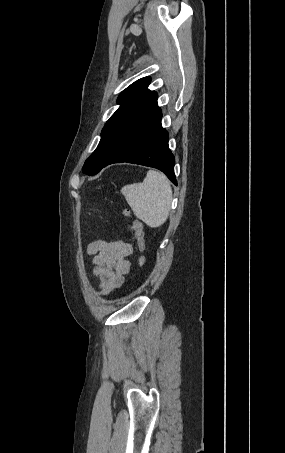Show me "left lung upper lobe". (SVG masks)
Wrapping results in <instances>:
<instances>
[{"mask_svg": "<svg viewBox=\"0 0 285 453\" xmlns=\"http://www.w3.org/2000/svg\"><path fill=\"white\" fill-rule=\"evenodd\" d=\"M150 82L149 77L139 79L119 95L117 102L120 107L103 127L98 147L85 161L83 173L97 174L124 131L157 99V93L148 89Z\"/></svg>", "mask_w": 285, "mask_h": 453, "instance_id": "1", "label": "left lung upper lobe"}]
</instances>
